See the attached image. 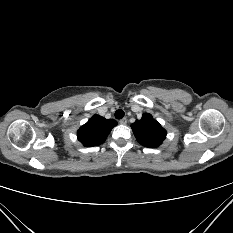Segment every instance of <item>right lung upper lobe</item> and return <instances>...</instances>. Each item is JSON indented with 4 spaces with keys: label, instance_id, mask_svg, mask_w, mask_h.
<instances>
[{
    "label": "right lung upper lobe",
    "instance_id": "cb5924a9",
    "mask_svg": "<svg viewBox=\"0 0 233 233\" xmlns=\"http://www.w3.org/2000/svg\"><path fill=\"white\" fill-rule=\"evenodd\" d=\"M117 125L113 119H105L99 115L92 118L77 131L78 140L86 147L98 146L102 144L110 131Z\"/></svg>",
    "mask_w": 233,
    "mask_h": 233
}]
</instances>
